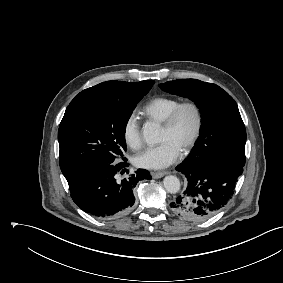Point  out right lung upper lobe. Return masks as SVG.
<instances>
[{"label": "right lung upper lobe", "instance_id": "obj_1", "mask_svg": "<svg viewBox=\"0 0 283 283\" xmlns=\"http://www.w3.org/2000/svg\"><path fill=\"white\" fill-rule=\"evenodd\" d=\"M153 80L142 82L107 81L96 86L83 90L74 100L77 99H110L123 98L140 91L144 85Z\"/></svg>", "mask_w": 283, "mask_h": 283}]
</instances>
